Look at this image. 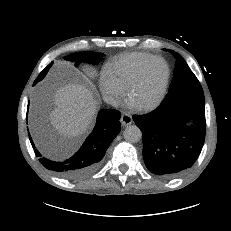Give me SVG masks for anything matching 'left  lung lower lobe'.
Returning <instances> with one entry per match:
<instances>
[{"label":"left lung lower lobe","instance_id":"0a47b994","mask_svg":"<svg viewBox=\"0 0 231 231\" xmlns=\"http://www.w3.org/2000/svg\"><path fill=\"white\" fill-rule=\"evenodd\" d=\"M143 136V158L150 172L176 177L198 159L205 140L202 88L165 97L154 111L133 116Z\"/></svg>","mask_w":231,"mask_h":231}]
</instances>
